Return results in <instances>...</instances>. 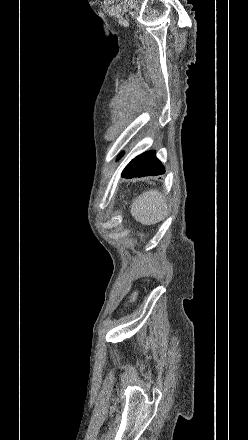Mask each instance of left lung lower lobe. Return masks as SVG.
<instances>
[{
    "instance_id": "left-lung-lower-lobe-1",
    "label": "left lung lower lobe",
    "mask_w": 248,
    "mask_h": 440,
    "mask_svg": "<svg viewBox=\"0 0 248 440\" xmlns=\"http://www.w3.org/2000/svg\"><path fill=\"white\" fill-rule=\"evenodd\" d=\"M165 170L161 162L156 158L154 151L145 152L133 159L123 170L124 178L156 176L164 174Z\"/></svg>"
}]
</instances>
